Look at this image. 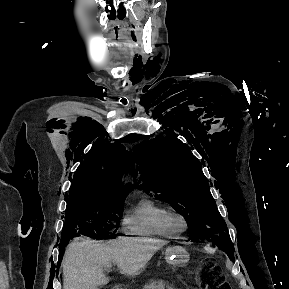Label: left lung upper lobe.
<instances>
[{
  "mask_svg": "<svg viewBox=\"0 0 289 289\" xmlns=\"http://www.w3.org/2000/svg\"><path fill=\"white\" fill-rule=\"evenodd\" d=\"M139 187L160 193L182 216L188 219L191 241L212 242L235 261L225 221L211 195L198 159L187 145L174 135L158 136L142 142ZM139 181V183H140ZM138 183V184H139Z\"/></svg>",
  "mask_w": 289,
  "mask_h": 289,
  "instance_id": "5c2ea615",
  "label": "left lung upper lobe"
}]
</instances>
